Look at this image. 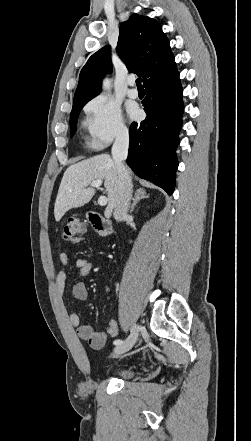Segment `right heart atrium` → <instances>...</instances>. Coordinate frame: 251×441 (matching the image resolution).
I'll list each match as a JSON object with an SVG mask.
<instances>
[{
	"mask_svg": "<svg viewBox=\"0 0 251 441\" xmlns=\"http://www.w3.org/2000/svg\"><path fill=\"white\" fill-rule=\"evenodd\" d=\"M89 144L100 149L128 135L120 106L106 95L92 98L84 108Z\"/></svg>",
	"mask_w": 251,
	"mask_h": 441,
	"instance_id": "obj_1",
	"label": "right heart atrium"
}]
</instances>
